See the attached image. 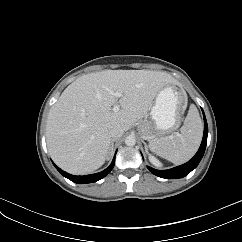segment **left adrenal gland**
<instances>
[{
	"label": "left adrenal gland",
	"instance_id": "a2214340",
	"mask_svg": "<svg viewBox=\"0 0 242 242\" xmlns=\"http://www.w3.org/2000/svg\"><path fill=\"white\" fill-rule=\"evenodd\" d=\"M144 145H145V150L148 153V145L143 141Z\"/></svg>",
	"mask_w": 242,
	"mask_h": 242
}]
</instances>
